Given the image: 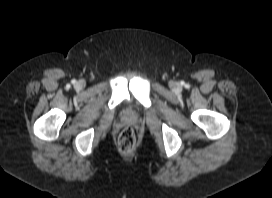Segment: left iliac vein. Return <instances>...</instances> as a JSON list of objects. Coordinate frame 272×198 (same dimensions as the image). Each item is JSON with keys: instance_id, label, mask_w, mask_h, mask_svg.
Wrapping results in <instances>:
<instances>
[{"instance_id": "1", "label": "left iliac vein", "mask_w": 272, "mask_h": 198, "mask_svg": "<svg viewBox=\"0 0 272 198\" xmlns=\"http://www.w3.org/2000/svg\"><path fill=\"white\" fill-rule=\"evenodd\" d=\"M171 86L173 87V88H179V85H178V83H176V82H173L172 84H171Z\"/></svg>"}]
</instances>
